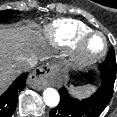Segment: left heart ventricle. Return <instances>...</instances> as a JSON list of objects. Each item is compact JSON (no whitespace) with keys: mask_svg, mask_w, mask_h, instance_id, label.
I'll list each match as a JSON object with an SVG mask.
<instances>
[{"mask_svg":"<svg viewBox=\"0 0 117 117\" xmlns=\"http://www.w3.org/2000/svg\"><path fill=\"white\" fill-rule=\"evenodd\" d=\"M103 47V40L98 36L90 38L84 47V51L87 55H94L98 53Z\"/></svg>","mask_w":117,"mask_h":117,"instance_id":"b2bd125f","label":"left heart ventricle"}]
</instances>
